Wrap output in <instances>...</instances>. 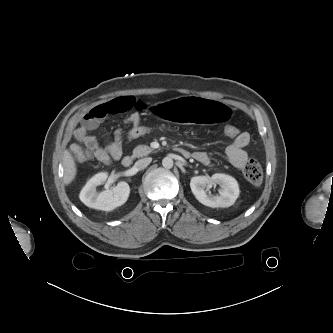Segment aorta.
Instances as JSON below:
<instances>
[{"label":"aorta","mask_w":333,"mask_h":333,"mask_svg":"<svg viewBox=\"0 0 333 333\" xmlns=\"http://www.w3.org/2000/svg\"><path fill=\"white\" fill-rule=\"evenodd\" d=\"M173 164H174L173 160L170 157H165L162 160V165H163L164 168L170 169V168L173 167Z\"/></svg>","instance_id":"obj_1"}]
</instances>
